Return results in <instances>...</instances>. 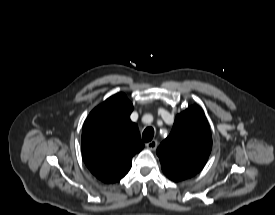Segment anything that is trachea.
Instances as JSON below:
<instances>
[{"instance_id":"trachea-1","label":"trachea","mask_w":275,"mask_h":215,"mask_svg":"<svg viewBox=\"0 0 275 215\" xmlns=\"http://www.w3.org/2000/svg\"><path fill=\"white\" fill-rule=\"evenodd\" d=\"M154 129L152 127H147L142 134L143 141L149 142L153 139Z\"/></svg>"}]
</instances>
